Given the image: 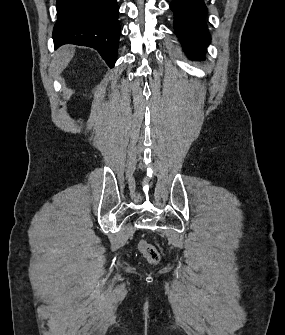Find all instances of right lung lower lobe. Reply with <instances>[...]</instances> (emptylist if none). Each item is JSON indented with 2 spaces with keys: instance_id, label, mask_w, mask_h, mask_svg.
Instances as JSON below:
<instances>
[{
  "instance_id": "obj_1",
  "label": "right lung lower lobe",
  "mask_w": 285,
  "mask_h": 335,
  "mask_svg": "<svg viewBox=\"0 0 285 335\" xmlns=\"http://www.w3.org/2000/svg\"><path fill=\"white\" fill-rule=\"evenodd\" d=\"M56 8L55 48L64 44L94 48L112 68L120 36L116 0H57Z\"/></svg>"
}]
</instances>
